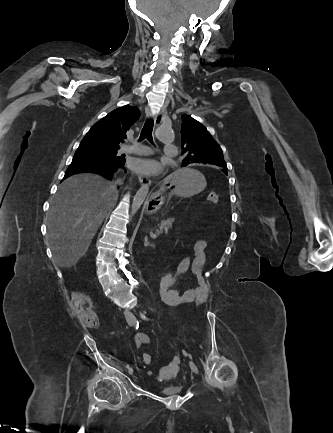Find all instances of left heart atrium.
<instances>
[{"mask_svg":"<svg viewBox=\"0 0 333 433\" xmlns=\"http://www.w3.org/2000/svg\"><path fill=\"white\" fill-rule=\"evenodd\" d=\"M130 167L137 173L158 174L161 171L160 164L153 159H134L130 162Z\"/></svg>","mask_w":333,"mask_h":433,"instance_id":"39dd6f15","label":"left heart atrium"}]
</instances>
